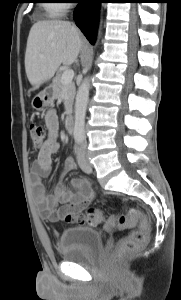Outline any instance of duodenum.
I'll return each instance as SVG.
<instances>
[{"label":"duodenum","instance_id":"1","mask_svg":"<svg viewBox=\"0 0 181 300\" xmlns=\"http://www.w3.org/2000/svg\"><path fill=\"white\" fill-rule=\"evenodd\" d=\"M65 127L68 133H72L74 131V116L71 112L66 114Z\"/></svg>","mask_w":181,"mask_h":300}]
</instances>
